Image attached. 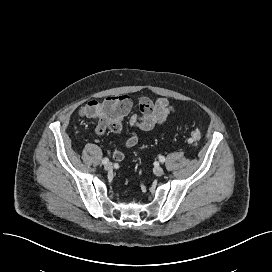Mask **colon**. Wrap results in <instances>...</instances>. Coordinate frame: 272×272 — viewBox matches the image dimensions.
Returning <instances> with one entry per match:
<instances>
[{"label": "colon", "mask_w": 272, "mask_h": 272, "mask_svg": "<svg viewBox=\"0 0 272 272\" xmlns=\"http://www.w3.org/2000/svg\"><path fill=\"white\" fill-rule=\"evenodd\" d=\"M99 123L104 128H117L119 126V121L114 115V111L110 108H106L102 110L101 116L99 118ZM201 140V132L199 129L195 128L191 131L190 136L188 138L189 144H197Z\"/></svg>", "instance_id": "obj_1"}]
</instances>
